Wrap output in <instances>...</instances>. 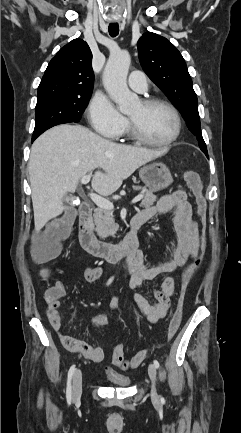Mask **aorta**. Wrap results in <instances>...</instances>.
I'll use <instances>...</instances> for the list:
<instances>
[{
    "label": "aorta",
    "mask_w": 241,
    "mask_h": 433,
    "mask_svg": "<svg viewBox=\"0 0 241 433\" xmlns=\"http://www.w3.org/2000/svg\"><path fill=\"white\" fill-rule=\"evenodd\" d=\"M131 58L125 51L112 53L103 72V83L111 99L122 113L129 112L139 103V98L127 86Z\"/></svg>",
    "instance_id": "1"
}]
</instances>
